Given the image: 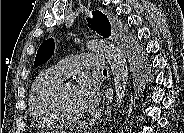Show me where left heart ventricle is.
<instances>
[{
    "label": "left heart ventricle",
    "mask_w": 184,
    "mask_h": 133,
    "mask_svg": "<svg viewBox=\"0 0 184 133\" xmlns=\"http://www.w3.org/2000/svg\"><path fill=\"white\" fill-rule=\"evenodd\" d=\"M63 105L66 112L71 116H83L85 111L79 105L76 95L75 88L73 85H67L63 91Z\"/></svg>",
    "instance_id": "obj_1"
}]
</instances>
